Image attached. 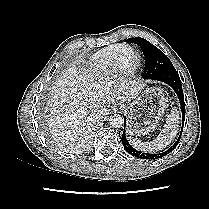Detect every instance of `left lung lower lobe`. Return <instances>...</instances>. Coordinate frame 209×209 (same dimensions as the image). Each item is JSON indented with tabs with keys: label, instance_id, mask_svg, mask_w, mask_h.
Here are the masks:
<instances>
[{
	"label": "left lung lower lobe",
	"instance_id": "left-lung-lower-lobe-1",
	"mask_svg": "<svg viewBox=\"0 0 209 209\" xmlns=\"http://www.w3.org/2000/svg\"><path fill=\"white\" fill-rule=\"evenodd\" d=\"M152 80L164 82V83L168 84L169 86H171L173 88V90L176 92L178 99L180 101V106H181V111H182V121H183L182 126H184L185 103H184L182 85H181V81H180L177 71L170 70V71L162 72V73L154 76L152 78ZM124 121L126 124V117H124ZM124 128H125V126H124ZM182 131H183V127L181 129V134H180L179 138L168 150L161 152V153H155V154L142 153L141 151L134 149L127 141L125 131L122 134L121 141L124 146V149L132 156H135V157L141 158V159H149V160L159 159V158L164 157L165 155L169 154L170 152H172L176 148V146L178 145V143L180 141Z\"/></svg>",
	"mask_w": 209,
	"mask_h": 209
}]
</instances>
